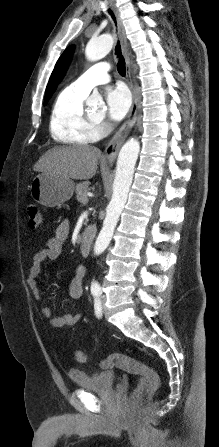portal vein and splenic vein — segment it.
Listing matches in <instances>:
<instances>
[{
  "label": "portal vein and splenic vein",
  "instance_id": "1",
  "mask_svg": "<svg viewBox=\"0 0 219 447\" xmlns=\"http://www.w3.org/2000/svg\"><path fill=\"white\" fill-rule=\"evenodd\" d=\"M88 202V198L87 197H85V198H83V200H82V203H87Z\"/></svg>",
  "mask_w": 219,
  "mask_h": 447
}]
</instances>
